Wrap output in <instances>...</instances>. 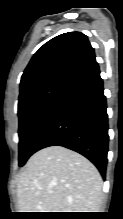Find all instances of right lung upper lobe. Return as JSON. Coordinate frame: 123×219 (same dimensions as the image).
<instances>
[{
    "label": "right lung upper lobe",
    "mask_w": 123,
    "mask_h": 219,
    "mask_svg": "<svg viewBox=\"0 0 123 219\" xmlns=\"http://www.w3.org/2000/svg\"><path fill=\"white\" fill-rule=\"evenodd\" d=\"M95 63L94 49L86 35L81 32L58 35L32 57L21 77L20 96L51 81H69Z\"/></svg>",
    "instance_id": "cb5924a9"
}]
</instances>
